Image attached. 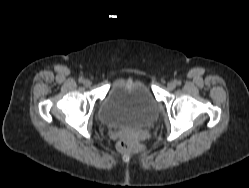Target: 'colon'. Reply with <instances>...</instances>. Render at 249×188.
I'll list each match as a JSON object with an SVG mask.
<instances>
[{"mask_svg":"<svg viewBox=\"0 0 249 188\" xmlns=\"http://www.w3.org/2000/svg\"><path fill=\"white\" fill-rule=\"evenodd\" d=\"M138 144V138L133 134H128L118 142V148L122 152H130L135 150L138 147Z\"/></svg>","mask_w":249,"mask_h":188,"instance_id":"colon-1","label":"colon"}]
</instances>
